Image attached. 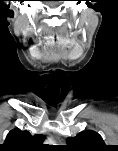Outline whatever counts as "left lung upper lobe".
<instances>
[{
	"label": "left lung upper lobe",
	"mask_w": 118,
	"mask_h": 151,
	"mask_svg": "<svg viewBox=\"0 0 118 151\" xmlns=\"http://www.w3.org/2000/svg\"><path fill=\"white\" fill-rule=\"evenodd\" d=\"M67 143L71 151H98L105 147L101 136L91 130L83 131L76 137H68Z\"/></svg>",
	"instance_id": "1"
}]
</instances>
